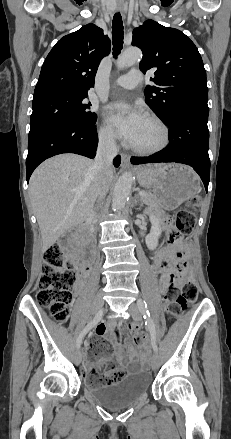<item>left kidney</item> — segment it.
Returning a JSON list of instances; mask_svg holds the SVG:
<instances>
[{"mask_svg":"<svg viewBox=\"0 0 231 439\" xmlns=\"http://www.w3.org/2000/svg\"><path fill=\"white\" fill-rule=\"evenodd\" d=\"M150 221L152 223L150 234L145 238L147 247L150 250H154L158 245V238L161 235L160 221L158 217L152 215L150 216Z\"/></svg>","mask_w":231,"mask_h":439,"instance_id":"1","label":"left kidney"}]
</instances>
